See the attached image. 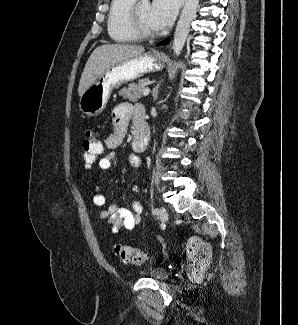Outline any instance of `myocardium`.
<instances>
[{
    "label": "myocardium",
    "instance_id": "myocardium-1",
    "mask_svg": "<svg viewBox=\"0 0 298 325\" xmlns=\"http://www.w3.org/2000/svg\"><path fill=\"white\" fill-rule=\"evenodd\" d=\"M147 0H130L124 18V26L126 31L135 39L146 41L158 38L162 35V32L150 33L143 30L138 21V9L140 5Z\"/></svg>",
    "mask_w": 298,
    "mask_h": 325
}]
</instances>
